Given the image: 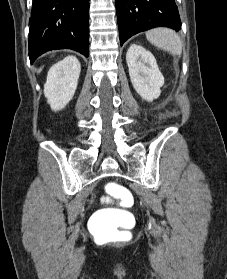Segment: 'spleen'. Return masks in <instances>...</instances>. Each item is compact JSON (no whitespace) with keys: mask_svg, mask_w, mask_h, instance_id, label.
Returning a JSON list of instances; mask_svg holds the SVG:
<instances>
[{"mask_svg":"<svg viewBox=\"0 0 227 279\" xmlns=\"http://www.w3.org/2000/svg\"><path fill=\"white\" fill-rule=\"evenodd\" d=\"M147 40L156 47L166 50L173 55H181L182 43L180 37L168 28H157L146 33Z\"/></svg>","mask_w":227,"mask_h":279,"instance_id":"1","label":"spleen"}]
</instances>
